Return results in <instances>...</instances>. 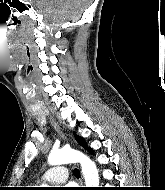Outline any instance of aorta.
Instances as JSON below:
<instances>
[{"mask_svg": "<svg viewBox=\"0 0 165 190\" xmlns=\"http://www.w3.org/2000/svg\"><path fill=\"white\" fill-rule=\"evenodd\" d=\"M48 162L50 165L79 162L86 187H99V174L95 163L79 151L71 149L52 150Z\"/></svg>", "mask_w": 165, "mask_h": 190, "instance_id": "762f6f07", "label": "aorta"}]
</instances>
